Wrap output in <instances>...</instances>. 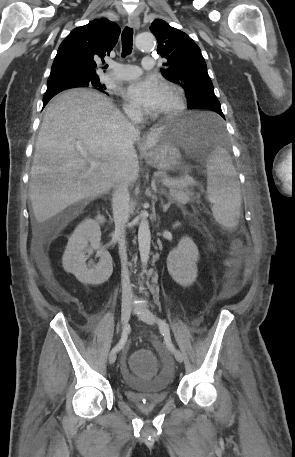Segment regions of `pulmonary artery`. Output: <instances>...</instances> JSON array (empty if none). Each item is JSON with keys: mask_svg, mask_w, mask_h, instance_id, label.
I'll return each instance as SVG.
<instances>
[{"mask_svg": "<svg viewBox=\"0 0 295 457\" xmlns=\"http://www.w3.org/2000/svg\"><path fill=\"white\" fill-rule=\"evenodd\" d=\"M155 66V60L151 56H146L142 59V68L145 70H151ZM141 70L138 66L130 64H118L112 66V70L104 75L105 79L126 81L131 80L139 76Z\"/></svg>", "mask_w": 295, "mask_h": 457, "instance_id": "1", "label": "pulmonary artery"}]
</instances>
